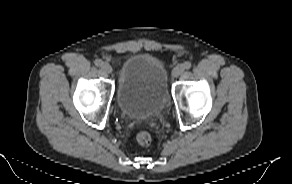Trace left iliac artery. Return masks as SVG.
Instances as JSON below:
<instances>
[{
	"instance_id": "left-iliac-artery-1",
	"label": "left iliac artery",
	"mask_w": 292,
	"mask_h": 184,
	"mask_svg": "<svg viewBox=\"0 0 292 184\" xmlns=\"http://www.w3.org/2000/svg\"><path fill=\"white\" fill-rule=\"evenodd\" d=\"M183 68H184V69H190V68H191V63H190L189 61L185 62V63L183 64Z\"/></svg>"
}]
</instances>
